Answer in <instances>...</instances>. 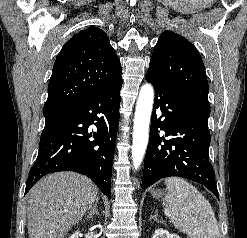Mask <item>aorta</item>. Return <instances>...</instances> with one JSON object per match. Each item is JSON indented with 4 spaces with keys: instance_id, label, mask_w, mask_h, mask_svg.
<instances>
[{
    "instance_id": "1",
    "label": "aorta",
    "mask_w": 247,
    "mask_h": 238,
    "mask_svg": "<svg viewBox=\"0 0 247 238\" xmlns=\"http://www.w3.org/2000/svg\"><path fill=\"white\" fill-rule=\"evenodd\" d=\"M153 101V87L150 84L143 85L136 104L133 126L132 162L135 170L141 165L147 149Z\"/></svg>"
}]
</instances>
